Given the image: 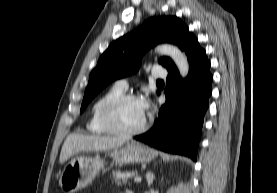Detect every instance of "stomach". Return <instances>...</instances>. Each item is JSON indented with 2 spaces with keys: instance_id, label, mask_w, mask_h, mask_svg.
I'll return each mask as SVG.
<instances>
[{
  "instance_id": "1",
  "label": "stomach",
  "mask_w": 277,
  "mask_h": 193,
  "mask_svg": "<svg viewBox=\"0 0 277 193\" xmlns=\"http://www.w3.org/2000/svg\"><path fill=\"white\" fill-rule=\"evenodd\" d=\"M111 157L119 165L148 163L154 158V153L150 148L131 141L120 148H115L111 152ZM104 164L99 155L73 157L60 174L59 184L64 193H75L88 186L104 168Z\"/></svg>"
}]
</instances>
